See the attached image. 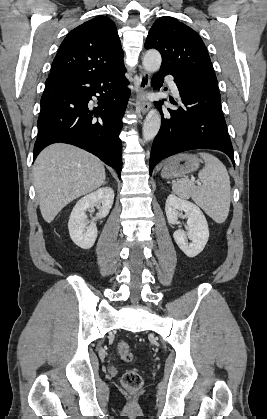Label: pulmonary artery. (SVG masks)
<instances>
[{
	"label": "pulmonary artery",
	"mask_w": 267,
	"mask_h": 419,
	"mask_svg": "<svg viewBox=\"0 0 267 419\" xmlns=\"http://www.w3.org/2000/svg\"><path fill=\"white\" fill-rule=\"evenodd\" d=\"M166 79H167V82H168V84H169L172 92L175 95H178L179 94V91H178V88L176 86V83L174 82V79L171 76H167Z\"/></svg>",
	"instance_id": "obj_1"
}]
</instances>
